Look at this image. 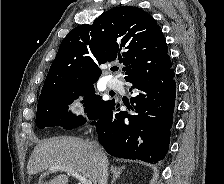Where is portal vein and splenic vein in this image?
Masks as SVG:
<instances>
[{
    "mask_svg": "<svg viewBox=\"0 0 224 184\" xmlns=\"http://www.w3.org/2000/svg\"><path fill=\"white\" fill-rule=\"evenodd\" d=\"M49 171H65L69 174H71L73 177L79 180V184H92V182L85 177H83L80 173L75 171L74 169L62 167V166H55L49 168Z\"/></svg>",
    "mask_w": 224,
    "mask_h": 184,
    "instance_id": "obj_1",
    "label": "portal vein and splenic vein"
}]
</instances>
